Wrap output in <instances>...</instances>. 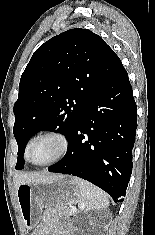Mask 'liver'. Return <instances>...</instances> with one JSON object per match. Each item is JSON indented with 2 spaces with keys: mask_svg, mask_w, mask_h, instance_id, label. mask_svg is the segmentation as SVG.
<instances>
[{
  "mask_svg": "<svg viewBox=\"0 0 155 235\" xmlns=\"http://www.w3.org/2000/svg\"><path fill=\"white\" fill-rule=\"evenodd\" d=\"M56 177H57L56 175H50L48 173L17 172L14 175L13 180H14L15 189L17 190L18 186L21 185V184L38 183V182L51 180V179L56 178Z\"/></svg>",
  "mask_w": 155,
  "mask_h": 235,
  "instance_id": "obj_1",
  "label": "liver"
}]
</instances>
